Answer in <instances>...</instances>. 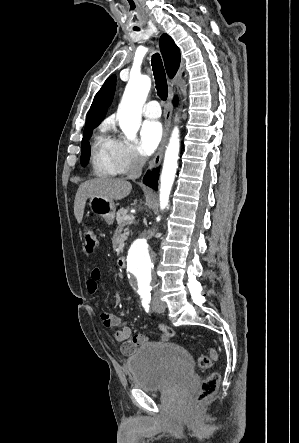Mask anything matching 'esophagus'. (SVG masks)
Returning <instances> with one entry per match:
<instances>
[{
  "label": "esophagus",
  "instance_id": "1",
  "mask_svg": "<svg viewBox=\"0 0 299 443\" xmlns=\"http://www.w3.org/2000/svg\"><path fill=\"white\" fill-rule=\"evenodd\" d=\"M172 99H173V91L170 88L169 93H168L166 107H165V126H164V131H163V137H162L161 143L157 149V152H156L154 158L150 162V165H149L150 169L156 168L161 163V160L163 158L164 149H165V145L167 143V138H168V134H169L170 126H171Z\"/></svg>",
  "mask_w": 299,
  "mask_h": 443
}]
</instances>
